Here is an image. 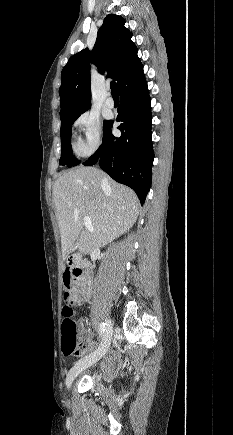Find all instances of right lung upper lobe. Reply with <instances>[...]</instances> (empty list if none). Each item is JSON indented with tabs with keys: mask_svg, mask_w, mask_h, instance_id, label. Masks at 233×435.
<instances>
[{
	"mask_svg": "<svg viewBox=\"0 0 233 435\" xmlns=\"http://www.w3.org/2000/svg\"><path fill=\"white\" fill-rule=\"evenodd\" d=\"M125 20L115 14L105 17L99 28L92 52L88 48L73 55L61 73L59 89L60 117L82 114L90 108V61L100 73L117 81V88L143 72L132 33L124 27Z\"/></svg>",
	"mask_w": 233,
	"mask_h": 435,
	"instance_id": "obj_1",
	"label": "right lung upper lobe"
}]
</instances>
